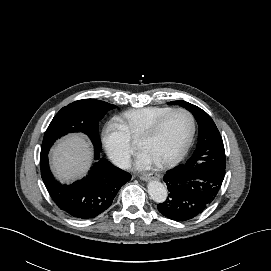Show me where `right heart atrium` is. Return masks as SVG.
Instances as JSON below:
<instances>
[{"label":"right heart atrium","mask_w":271,"mask_h":271,"mask_svg":"<svg viewBox=\"0 0 271 271\" xmlns=\"http://www.w3.org/2000/svg\"><path fill=\"white\" fill-rule=\"evenodd\" d=\"M103 147L109 158L119 166H128L136 147L128 134L116 122H109L101 133Z\"/></svg>","instance_id":"1"}]
</instances>
